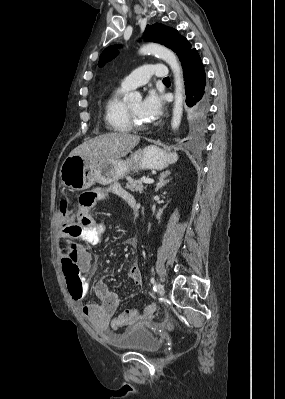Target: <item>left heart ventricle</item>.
<instances>
[{"label": "left heart ventricle", "mask_w": 285, "mask_h": 399, "mask_svg": "<svg viewBox=\"0 0 285 399\" xmlns=\"http://www.w3.org/2000/svg\"><path fill=\"white\" fill-rule=\"evenodd\" d=\"M129 106H130L131 110L133 111V113L135 114L136 118L139 121L146 123V121L144 120V118L142 117V115L140 113L141 101L140 100L134 101Z\"/></svg>", "instance_id": "left-heart-ventricle-1"}]
</instances>
